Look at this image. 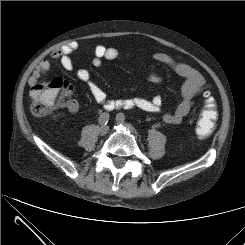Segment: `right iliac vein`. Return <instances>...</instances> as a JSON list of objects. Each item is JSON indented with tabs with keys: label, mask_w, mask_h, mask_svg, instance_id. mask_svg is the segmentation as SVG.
Wrapping results in <instances>:
<instances>
[{
	"label": "right iliac vein",
	"mask_w": 245,
	"mask_h": 245,
	"mask_svg": "<svg viewBox=\"0 0 245 245\" xmlns=\"http://www.w3.org/2000/svg\"><path fill=\"white\" fill-rule=\"evenodd\" d=\"M108 131H109V127L107 125H101L99 127V134L102 136L106 135Z\"/></svg>",
	"instance_id": "right-iliac-vein-1"
}]
</instances>
